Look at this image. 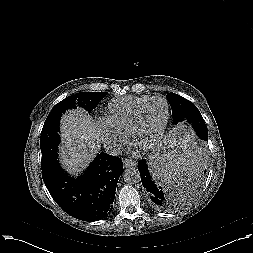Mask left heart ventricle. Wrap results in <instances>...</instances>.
Returning a JSON list of instances; mask_svg holds the SVG:
<instances>
[{
  "label": "left heart ventricle",
  "mask_w": 253,
  "mask_h": 253,
  "mask_svg": "<svg viewBox=\"0 0 253 253\" xmlns=\"http://www.w3.org/2000/svg\"><path fill=\"white\" fill-rule=\"evenodd\" d=\"M165 118V102L160 99L151 101L141 114L140 121L134 133V142L141 146L149 143L161 129Z\"/></svg>",
  "instance_id": "b2bd125f"
}]
</instances>
